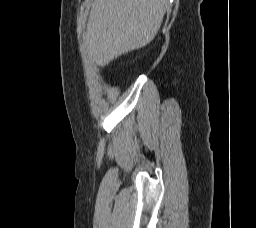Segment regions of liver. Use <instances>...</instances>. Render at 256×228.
Instances as JSON below:
<instances>
[{
    "label": "liver",
    "mask_w": 256,
    "mask_h": 228,
    "mask_svg": "<svg viewBox=\"0 0 256 228\" xmlns=\"http://www.w3.org/2000/svg\"><path fill=\"white\" fill-rule=\"evenodd\" d=\"M167 0H94L83 41L99 66L149 44L161 27Z\"/></svg>",
    "instance_id": "6515ba94"
}]
</instances>
